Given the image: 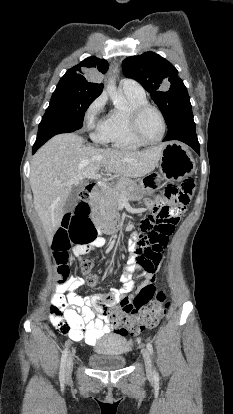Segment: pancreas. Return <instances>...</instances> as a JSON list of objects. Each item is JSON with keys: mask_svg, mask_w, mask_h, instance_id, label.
Here are the masks:
<instances>
[{"mask_svg": "<svg viewBox=\"0 0 233 414\" xmlns=\"http://www.w3.org/2000/svg\"><path fill=\"white\" fill-rule=\"evenodd\" d=\"M134 181L129 178H119L117 182L108 183L100 192L99 202L100 213L104 217H115L118 209V202L122 196L129 194V188Z\"/></svg>", "mask_w": 233, "mask_h": 414, "instance_id": "1", "label": "pancreas"}]
</instances>
